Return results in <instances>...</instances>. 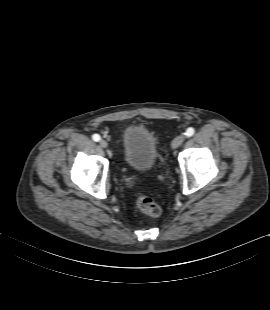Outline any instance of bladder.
I'll use <instances>...</instances> for the list:
<instances>
[{"label":"bladder","instance_id":"1","mask_svg":"<svg viewBox=\"0 0 270 310\" xmlns=\"http://www.w3.org/2000/svg\"><path fill=\"white\" fill-rule=\"evenodd\" d=\"M159 151L154 135L145 127L128 126L122 135V158L124 163L137 171L152 169Z\"/></svg>","mask_w":270,"mask_h":310}]
</instances>
